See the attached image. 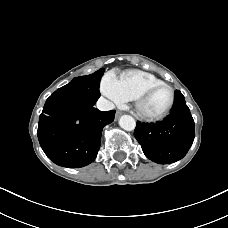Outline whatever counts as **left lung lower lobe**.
Listing matches in <instances>:
<instances>
[{
	"mask_svg": "<svg viewBox=\"0 0 228 228\" xmlns=\"http://www.w3.org/2000/svg\"><path fill=\"white\" fill-rule=\"evenodd\" d=\"M134 136L147 158L159 164L182 159L191 147L194 137V120L180 91H175L171 114L157 124L137 122Z\"/></svg>",
	"mask_w": 228,
	"mask_h": 228,
	"instance_id": "obj_1",
	"label": "left lung lower lobe"
}]
</instances>
